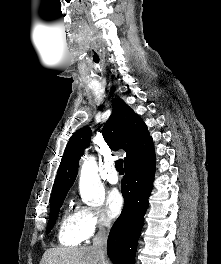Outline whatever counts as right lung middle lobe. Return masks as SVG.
Returning <instances> with one entry per match:
<instances>
[{
    "mask_svg": "<svg viewBox=\"0 0 221 264\" xmlns=\"http://www.w3.org/2000/svg\"><path fill=\"white\" fill-rule=\"evenodd\" d=\"M66 193L53 198L50 202V217L46 233L48 234L54 226L60 207L63 204Z\"/></svg>",
    "mask_w": 221,
    "mask_h": 264,
    "instance_id": "obj_1",
    "label": "right lung middle lobe"
}]
</instances>
